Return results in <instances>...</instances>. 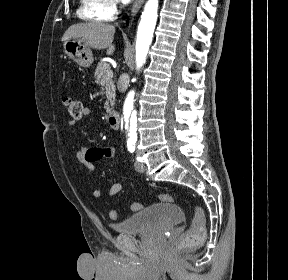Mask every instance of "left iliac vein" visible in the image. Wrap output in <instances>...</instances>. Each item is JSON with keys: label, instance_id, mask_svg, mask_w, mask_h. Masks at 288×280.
Returning <instances> with one entry per match:
<instances>
[{"label": "left iliac vein", "instance_id": "1", "mask_svg": "<svg viewBox=\"0 0 288 280\" xmlns=\"http://www.w3.org/2000/svg\"><path fill=\"white\" fill-rule=\"evenodd\" d=\"M135 165H136L137 169H142L143 168V165L140 162H138V161H136Z\"/></svg>", "mask_w": 288, "mask_h": 280}]
</instances>
